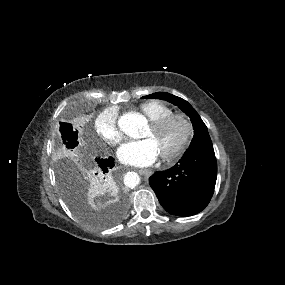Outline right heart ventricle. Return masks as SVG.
I'll return each instance as SVG.
<instances>
[{
	"mask_svg": "<svg viewBox=\"0 0 285 285\" xmlns=\"http://www.w3.org/2000/svg\"><path fill=\"white\" fill-rule=\"evenodd\" d=\"M139 111L145 115L150 121L161 118L171 113V108L165 103L158 100H150L139 106Z\"/></svg>",
	"mask_w": 285,
	"mask_h": 285,
	"instance_id": "1",
	"label": "right heart ventricle"
}]
</instances>
